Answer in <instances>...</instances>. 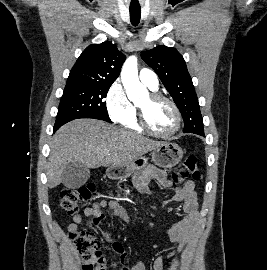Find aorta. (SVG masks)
<instances>
[{
	"label": "aorta",
	"instance_id": "aorta-1",
	"mask_svg": "<svg viewBox=\"0 0 267 270\" xmlns=\"http://www.w3.org/2000/svg\"><path fill=\"white\" fill-rule=\"evenodd\" d=\"M121 80L131 101H137L147 94L146 87L139 81L137 58L130 56L123 64Z\"/></svg>",
	"mask_w": 267,
	"mask_h": 270
}]
</instances>
